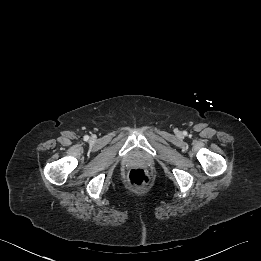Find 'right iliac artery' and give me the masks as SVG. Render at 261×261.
I'll use <instances>...</instances> for the list:
<instances>
[{"label":"right iliac artery","mask_w":261,"mask_h":261,"mask_svg":"<svg viewBox=\"0 0 261 261\" xmlns=\"http://www.w3.org/2000/svg\"><path fill=\"white\" fill-rule=\"evenodd\" d=\"M89 139V136L88 135H86V136H84V140H88Z\"/></svg>","instance_id":"right-iliac-artery-1"}]
</instances>
